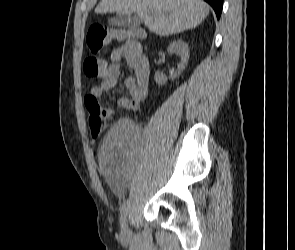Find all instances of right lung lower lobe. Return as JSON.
Here are the masks:
<instances>
[{"mask_svg":"<svg viewBox=\"0 0 295 250\" xmlns=\"http://www.w3.org/2000/svg\"><path fill=\"white\" fill-rule=\"evenodd\" d=\"M207 3H209L212 8L214 9L217 18H220L222 7H223V0H205Z\"/></svg>","mask_w":295,"mask_h":250,"instance_id":"right-lung-lower-lobe-1","label":"right lung lower lobe"}]
</instances>
